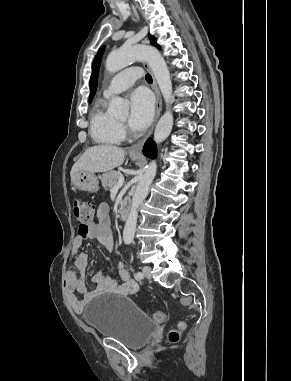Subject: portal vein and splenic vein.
Returning a JSON list of instances; mask_svg holds the SVG:
<instances>
[{
	"label": "portal vein and splenic vein",
	"mask_w": 291,
	"mask_h": 381,
	"mask_svg": "<svg viewBox=\"0 0 291 381\" xmlns=\"http://www.w3.org/2000/svg\"><path fill=\"white\" fill-rule=\"evenodd\" d=\"M123 183H124V177L120 176L118 182L114 185L111 191L117 192L123 186Z\"/></svg>",
	"instance_id": "obj_1"
}]
</instances>
